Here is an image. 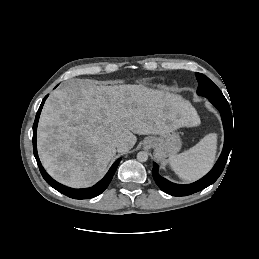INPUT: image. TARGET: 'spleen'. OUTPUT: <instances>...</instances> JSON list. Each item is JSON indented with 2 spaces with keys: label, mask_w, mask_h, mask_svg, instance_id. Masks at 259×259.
<instances>
[{
  "label": "spleen",
  "mask_w": 259,
  "mask_h": 259,
  "mask_svg": "<svg viewBox=\"0 0 259 259\" xmlns=\"http://www.w3.org/2000/svg\"><path fill=\"white\" fill-rule=\"evenodd\" d=\"M217 150V134L210 133L195 146L169 157L172 170L183 180L195 181L213 166Z\"/></svg>",
  "instance_id": "1"
}]
</instances>
